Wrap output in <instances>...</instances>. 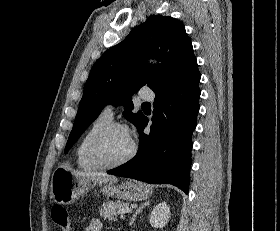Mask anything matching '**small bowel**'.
Returning a JSON list of instances; mask_svg holds the SVG:
<instances>
[{
  "label": "small bowel",
  "instance_id": "obj_1",
  "mask_svg": "<svg viewBox=\"0 0 280 231\" xmlns=\"http://www.w3.org/2000/svg\"><path fill=\"white\" fill-rule=\"evenodd\" d=\"M102 225L98 219H93L91 223L85 228V231H101Z\"/></svg>",
  "mask_w": 280,
  "mask_h": 231
}]
</instances>
